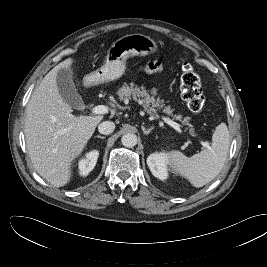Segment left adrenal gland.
<instances>
[{
	"label": "left adrenal gland",
	"instance_id": "a2214340",
	"mask_svg": "<svg viewBox=\"0 0 267 267\" xmlns=\"http://www.w3.org/2000/svg\"><path fill=\"white\" fill-rule=\"evenodd\" d=\"M141 128H142V130H143L144 135H148V134H150V132H151L152 129H153L152 127L149 128V129H146V128L144 127V125H142Z\"/></svg>",
	"mask_w": 267,
	"mask_h": 267
}]
</instances>
